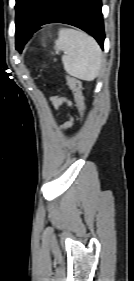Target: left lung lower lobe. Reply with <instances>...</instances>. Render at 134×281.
I'll return each mask as SVG.
<instances>
[{"mask_svg": "<svg viewBox=\"0 0 134 281\" xmlns=\"http://www.w3.org/2000/svg\"><path fill=\"white\" fill-rule=\"evenodd\" d=\"M53 22L73 25L88 32L103 49L105 35L101 0H42L27 26L16 31V49L21 52L38 27Z\"/></svg>", "mask_w": 134, "mask_h": 281, "instance_id": "left-lung-lower-lobe-1", "label": "left lung lower lobe"}]
</instances>
